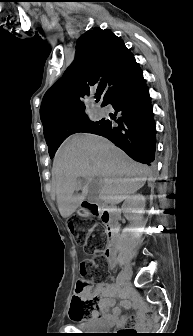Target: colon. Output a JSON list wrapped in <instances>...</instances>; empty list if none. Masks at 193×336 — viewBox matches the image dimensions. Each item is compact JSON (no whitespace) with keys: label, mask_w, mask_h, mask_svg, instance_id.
I'll return each mask as SVG.
<instances>
[{"label":"colon","mask_w":193,"mask_h":336,"mask_svg":"<svg viewBox=\"0 0 193 336\" xmlns=\"http://www.w3.org/2000/svg\"><path fill=\"white\" fill-rule=\"evenodd\" d=\"M78 222L71 220L68 224L69 229L75 232V240L78 244L83 245L87 252L98 253L102 250V245L95 234H86L76 232ZM94 224L88 223L87 229L93 230ZM91 265L90 260H84L80 264L81 278L76 285L75 294L72 297L70 305V317L75 321H83L91 318L95 313L100 311V297L96 294H88L91 287V281L87 278L88 269Z\"/></svg>","instance_id":"obj_1"}]
</instances>
